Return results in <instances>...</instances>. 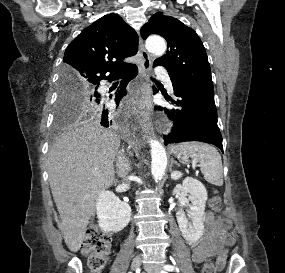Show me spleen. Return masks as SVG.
<instances>
[{"mask_svg": "<svg viewBox=\"0 0 285 273\" xmlns=\"http://www.w3.org/2000/svg\"><path fill=\"white\" fill-rule=\"evenodd\" d=\"M182 163L191 158L198 162L207 182L216 186L223 185V167L219 152L212 146L200 142H182L172 148Z\"/></svg>", "mask_w": 285, "mask_h": 273, "instance_id": "3e777b00", "label": "spleen"}]
</instances>
